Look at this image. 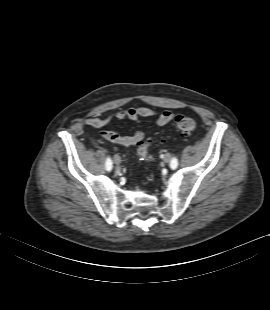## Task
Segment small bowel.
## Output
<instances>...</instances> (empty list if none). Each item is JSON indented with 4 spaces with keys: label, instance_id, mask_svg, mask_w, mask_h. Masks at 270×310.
<instances>
[{
    "label": "small bowel",
    "instance_id": "c3829d8e",
    "mask_svg": "<svg viewBox=\"0 0 270 310\" xmlns=\"http://www.w3.org/2000/svg\"><path fill=\"white\" fill-rule=\"evenodd\" d=\"M153 116H157L155 120V124L157 126H164L174 119L173 112L169 110H165L158 114L157 111L153 108L146 106H136L117 110L114 113L104 117H91L86 120V124L94 128H101L105 126L112 118H116L121 121L130 120L135 123H140L142 118H149ZM100 136L106 141L125 147L137 145L144 139V133L141 130H136L130 136H123L111 131H102L100 132Z\"/></svg>",
    "mask_w": 270,
    "mask_h": 310
}]
</instances>
